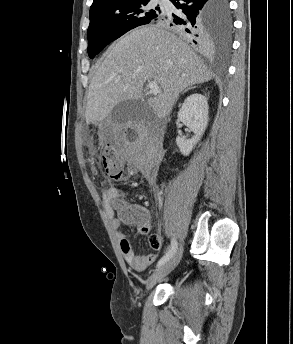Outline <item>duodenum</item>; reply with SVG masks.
Masks as SVG:
<instances>
[{
	"instance_id": "duodenum-1",
	"label": "duodenum",
	"mask_w": 293,
	"mask_h": 344,
	"mask_svg": "<svg viewBox=\"0 0 293 344\" xmlns=\"http://www.w3.org/2000/svg\"><path fill=\"white\" fill-rule=\"evenodd\" d=\"M159 151H160V149H159V146H158V145H156V147H155V153H156V156H158V155H159Z\"/></svg>"
}]
</instances>
